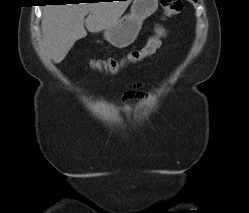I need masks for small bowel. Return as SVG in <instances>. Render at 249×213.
I'll return each instance as SVG.
<instances>
[{
    "label": "small bowel",
    "instance_id": "c3829d8e",
    "mask_svg": "<svg viewBox=\"0 0 249 213\" xmlns=\"http://www.w3.org/2000/svg\"><path fill=\"white\" fill-rule=\"evenodd\" d=\"M141 60H129V63H136ZM149 95L138 89V86H133L129 90H127L124 95H123V100L128 101V100H140V101H146L148 100Z\"/></svg>",
    "mask_w": 249,
    "mask_h": 213
}]
</instances>
